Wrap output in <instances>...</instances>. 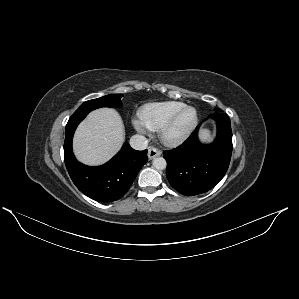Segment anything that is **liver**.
<instances>
[{"label":"liver","instance_id":"6515ba94","mask_svg":"<svg viewBox=\"0 0 299 299\" xmlns=\"http://www.w3.org/2000/svg\"><path fill=\"white\" fill-rule=\"evenodd\" d=\"M207 138L208 133L202 132ZM125 139L120 115L110 108L92 111L78 126L73 140L77 159L87 165H100L111 159Z\"/></svg>","mask_w":299,"mask_h":299}]
</instances>
